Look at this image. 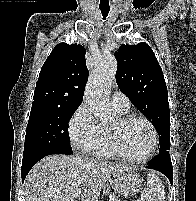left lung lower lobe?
I'll return each mask as SVG.
<instances>
[{
	"mask_svg": "<svg viewBox=\"0 0 196 201\" xmlns=\"http://www.w3.org/2000/svg\"><path fill=\"white\" fill-rule=\"evenodd\" d=\"M149 169L163 173L173 183V168L169 150L159 152V154L147 166Z\"/></svg>",
	"mask_w": 196,
	"mask_h": 201,
	"instance_id": "left-lung-lower-lobe-1",
	"label": "left lung lower lobe"
}]
</instances>
